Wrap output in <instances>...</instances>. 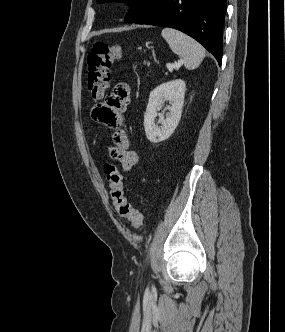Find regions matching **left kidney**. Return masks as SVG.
I'll list each match as a JSON object with an SVG mask.
<instances>
[{
  "label": "left kidney",
  "instance_id": "1",
  "mask_svg": "<svg viewBox=\"0 0 285 332\" xmlns=\"http://www.w3.org/2000/svg\"><path fill=\"white\" fill-rule=\"evenodd\" d=\"M186 84L181 79L169 81L157 86L149 96L148 105L144 115V129L147 139L152 143L168 139L175 131L182 114ZM165 101H169V113L166 118L160 111ZM157 115L161 126L155 124Z\"/></svg>",
  "mask_w": 285,
  "mask_h": 332
}]
</instances>
